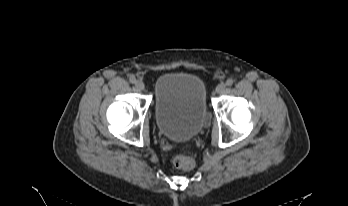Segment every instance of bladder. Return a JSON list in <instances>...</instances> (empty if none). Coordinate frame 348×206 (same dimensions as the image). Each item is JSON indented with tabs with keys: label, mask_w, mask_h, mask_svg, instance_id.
<instances>
[{
	"label": "bladder",
	"mask_w": 348,
	"mask_h": 206,
	"mask_svg": "<svg viewBox=\"0 0 348 206\" xmlns=\"http://www.w3.org/2000/svg\"><path fill=\"white\" fill-rule=\"evenodd\" d=\"M159 131L173 141H189L209 124L203 81L190 74L167 73L154 83Z\"/></svg>",
	"instance_id": "1"
}]
</instances>
